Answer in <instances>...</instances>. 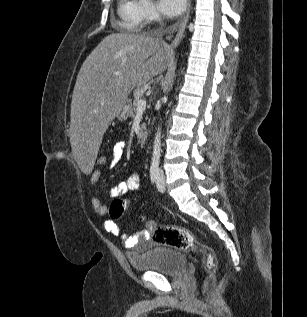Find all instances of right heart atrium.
<instances>
[{
    "mask_svg": "<svg viewBox=\"0 0 307 317\" xmlns=\"http://www.w3.org/2000/svg\"><path fill=\"white\" fill-rule=\"evenodd\" d=\"M139 12L145 23H152L159 19V13L151 0H140Z\"/></svg>",
    "mask_w": 307,
    "mask_h": 317,
    "instance_id": "d8ad5b80",
    "label": "right heart atrium"
}]
</instances>
